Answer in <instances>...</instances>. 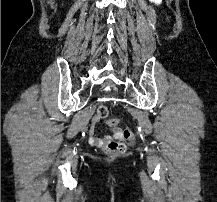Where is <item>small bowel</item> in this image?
I'll return each instance as SVG.
<instances>
[{
	"label": "small bowel",
	"mask_w": 217,
	"mask_h": 202,
	"mask_svg": "<svg viewBox=\"0 0 217 202\" xmlns=\"http://www.w3.org/2000/svg\"><path fill=\"white\" fill-rule=\"evenodd\" d=\"M102 120H99V114L97 113L93 118H92V121H91V125L88 129V134H89V137H88V142L90 145L92 146H95V147H98V148H102L106 142L110 141L111 140V136L109 135H106V136H102V137H99L96 135V128H97V125L101 122ZM112 133H113V136L115 138L118 139V136H123V132L120 128H111L110 126H108Z\"/></svg>",
	"instance_id": "c3829d8e"
}]
</instances>
